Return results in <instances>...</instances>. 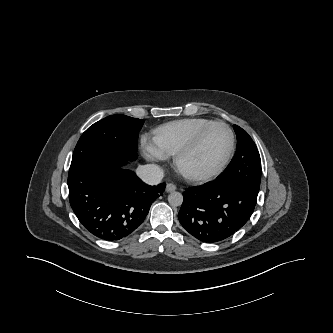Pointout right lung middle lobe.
Masks as SVG:
<instances>
[{
  "instance_id": "1",
  "label": "right lung middle lobe",
  "mask_w": 333,
  "mask_h": 333,
  "mask_svg": "<svg viewBox=\"0 0 333 333\" xmlns=\"http://www.w3.org/2000/svg\"><path fill=\"white\" fill-rule=\"evenodd\" d=\"M144 120L117 114L90 126L80 137L69 175L88 165L122 166L137 158L138 132Z\"/></svg>"
}]
</instances>
